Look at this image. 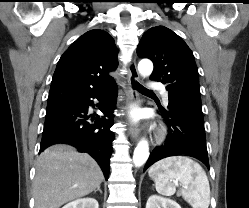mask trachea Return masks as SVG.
<instances>
[{"label": "trachea", "instance_id": "trachea-1", "mask_svg": "<svg viewBox=\"0 0 249 208\" xmlns=\"http://www.w3.org/2000/svg\"><path fill=\"white\" fill-rule=\"evenodd\" d=\"M136 88L139 90V91H142L144 93H147V94H153L152 91L146 89L145 87H143L142 85L140 84H137Z\"/></svg>", "mask_w": 249, "mask_h": 208}]
</instances>
